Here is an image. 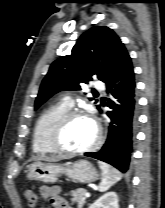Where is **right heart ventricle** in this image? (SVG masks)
I'll return each mask as SVG.
<instances>
[{
  "label": "right heart ventricle",
  "instance_id": "obj_1",
  "mask_svg": "<svg viewBox=\"0 0 165 208\" xmlns=\"http://www.w3.org/2000/svg\"><path fill=\"white\" fill-rule=\"evenodd\" d=\"M64 102L54 104L45 109L38 117L32 135V149L36 154H53L57 151L49 142V133L58 118L69 110Z\"/></svg>",
  "mask_w": 165,
  "mask_h": 208
}]
</instances>
